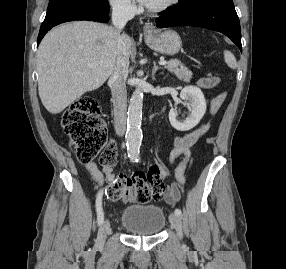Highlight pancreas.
Masks as SVG:
<instances>
[{
	"label": "pancreas",
	"instance_id": "pancreas-1",
	"mask_svg": "<svg viewBox=\"0 0 286 269\" xmlns=\"http://www.w3.org/2000/svg\"><path fill=\"white\" fill-rule=\"evenodd\" d=\"M165 68L171 73H174L179 80L189 81L193 75V73L178 60H170Z\"/></svg>",
	"mask_w": 286,
	"mask_h": 269
}]
</instances>
